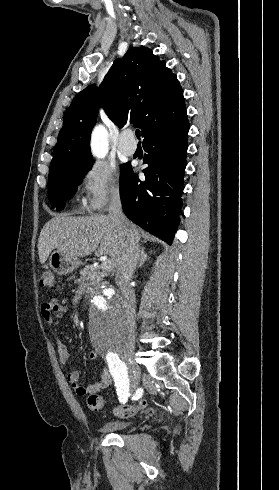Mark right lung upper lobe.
<instances>
[{
  "instance_id": "1",
  "label": "right lung upper lobe",
  "mask_w": 279,
  "mask_h": 490,
  "mask_svg": "<svg viewBox=\"0 0 279 490\" xmlns=\"http://www.w3.org/2000/svg\"><path fill=\"white\" fill-rule=\"evenodd\" d=\"M99 103L119 128L127 122L139 127L144 140L188 120L176 75L150 49L130 48L114 61L99 88L90 85L74 97L58 135L49 177L93 159L89 140Z\"/></svg>"
}]
</instances>
